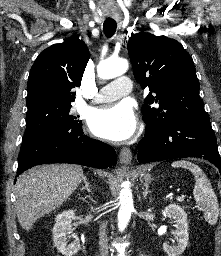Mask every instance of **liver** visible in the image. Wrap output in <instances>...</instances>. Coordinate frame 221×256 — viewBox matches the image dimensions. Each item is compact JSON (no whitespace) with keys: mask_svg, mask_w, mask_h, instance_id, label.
Segmentation results:
<instances>
[{"mask_svg":"<svg viewBox=\"0 0 221 256\" xmlns=\"http://www.w3.org/2000/svg\"><path fill=\"white\" fill-rule=\"evenodd\" d=\"M83 169L73 164L42 165L22 173L16 181V213L29 231L45 214L61 206L83 180Z\"/></svg>","mask_w":221,"mask_h":256,"instance_id":"1","label":"liver"}]
</instances>
